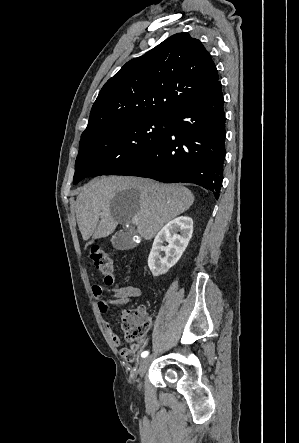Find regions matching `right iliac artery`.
Wrapping results in <instances>:
<instances>
[{"label":"right iliac artery","instance_id":"1","mask_svg":"<svg viewBox=\"0 0 299 443\" xmlns=\"http://www.w3.org/2000/svg\"><path fill=\"white\" fill-rule=\"evenodd\" d=\"M148 354H149L148 351H143V352L141 353V357H142V358H145V357L148 356Z\"/></svg>","mask_w":299,"mask_h":443}]
</instances>
